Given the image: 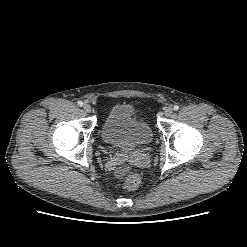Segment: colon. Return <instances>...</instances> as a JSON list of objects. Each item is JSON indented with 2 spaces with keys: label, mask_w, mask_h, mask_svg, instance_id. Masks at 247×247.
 Listing matches in <instances>:
<instances>
[{
  "label": "colon",
  "mask_w": 247,
  "mask_h": 247,
  "mask_svg": "<svg viewBox=\"0 0 247 247\" xmlns=\"http://www.w3.org/2000/svg\"><path fill=\"white\" fill-rule=\"evenodd\" d=\"M141 184V176L137 171H129L123 179V186L127 190H135Z\"/></svg>",
  "instance_id": "1"
}]
</instances>
